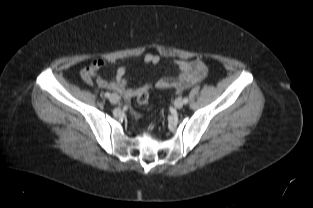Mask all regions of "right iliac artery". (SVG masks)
<instances>
[{
    "instance_id": "82829eb1",
    "label": "right iliac artery",
    "mask_w": 313,
    "mask_h": 208,
    "mask_svg": "<svg viewBox=\"0 0 313 208\" xmlns=\"http://www.w3.org/2000/svg\"><path fill=\"white\" fill-rule=\"evenodd\" d=\"M111 96V94L109 92L105 93V97L109 98Z\"/></svg>"
}]
</instances>
